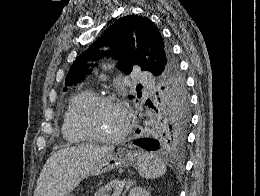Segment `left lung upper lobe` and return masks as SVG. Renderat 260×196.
Wrapping results in <instances>:
<instances>
[{"instance_id":"left-lung-upper-lobe-1","label":"left lung upper lobe","mask_w":260,"mask_h":196,"mask_svg":"<svg viewBox=\"0 0 260 196\" xmlns=\"http://www.w3.org/2000/svg\"><path fill=\"white\" fill-rule=\"evenodd\" d=\"M104 41L112 47L119 60L117 66L124 73H130L133 66H140L142 71L161 75L163 86L158 98V115L154 114L143 126L142 134L156 140L160 150L181 151L190 123L189 97L178 64L159 29L146 17L127 15L116 20L92 46L98 47ZM100 53L91 49L81 55L71 66L66 84L82 81L88 72L85 61L97 59ZM128 97L134 98L132 95Z\"/></svg>"}]
</instances>
